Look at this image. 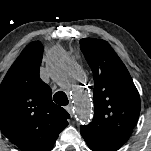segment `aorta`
Here are the masks:
<instances>
[{
	"label": "aorta",
	"instance_id": "aorta-1",
	"mask_svg": "<svg viewBox=\"0 0 151 151\" xmlns=\"http://www.w3.org/2000/svg\"><path fill=\"white\" fill-rule=\"evenodd\" d=\"M53 76L66 81H73L75 72L79 70L78 66L70 61L62 48H56L51 56L49 66ZM72 96L76 107V116L79 122L87 123L91 118V109L89 97L79 85H75L72 90Z\"/></svg>",
	"mask_w": 151,
	"mask_h": 151
}]
</instances>
